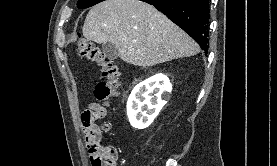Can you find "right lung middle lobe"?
I'll list each match as a JSON object with an SVG mask.
<instances>
[{"label": "right lung middle lobe", "mask_w": 277, "mask_h": 166, "mask_svg": "<svg viewBox=\"0 0 277 166\" xmlns=\"http://www.w3.org/2000/svg\"><path fill=\"white\" fill-rule=\"evenodd\" d=\"M102 1H104V0H79L77 3V6L80 9H85V8L91 7L97 3H100Z\"/></svg>", "instance_id": "obj_1"}]
</instances>
